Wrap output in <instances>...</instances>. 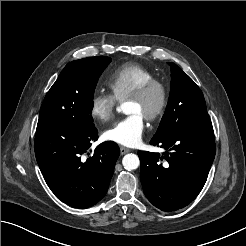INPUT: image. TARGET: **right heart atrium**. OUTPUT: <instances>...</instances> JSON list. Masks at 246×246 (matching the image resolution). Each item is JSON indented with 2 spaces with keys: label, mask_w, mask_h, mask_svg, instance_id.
<instances>
[{
  "label": "right heart atrium",
  "mask_w": 246,
  "mask_h": 246,
  "mask_svg": "<svg viewBox=\"0 0 246 246\" xmlns=\"http://www.w3.org/2000/svg\"><path fill=\"white\" fill-rule=\"evenodd\" d=\"M117 105V100L111 93L97 92L90 101L91 117L101 123L112 119Z\"/></svg>",
  "instance_id": "1"
}]
</instances>
